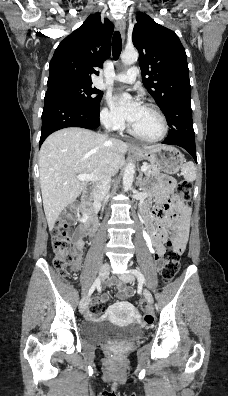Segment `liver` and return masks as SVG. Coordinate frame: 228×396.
<instances>
[{
	"label": "liver",
	"mask_w": 228,
	"mask_h": 396,
	"mask_svg": "<svg viewBox=\"0 0 228 396\" xmlns=\"http://www.w3.org/2000/svg\"><path fill=\"white\" fill-rule=\"evenodd\" d=\"M128 148L120 140L78 127L59 130L44 141L39 153V172L49 230L61 211L84 190L87 181H80L77 176L93 174L103 180L115 175L124 164Z\"/></svg>",
	"instance_id": "liver-1"
}]
</instances>
